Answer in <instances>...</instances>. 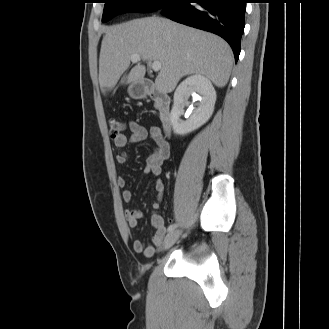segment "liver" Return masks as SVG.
Listing matches in <instances>:
<instances>
[{
	"label": "liver",
	"mask_w": 329,
	"mask_h": 329,
	"mask_svg": "<svg viewBox=\"0 0 329 329\" xmlns=\"http://www.w3.org/2000/svg\"><path fill=\"white\" fill-rule=\"evenodd\" d=\"M134 54L142 61L161 63L155 85L167 93L182 77L192 74L224 87L233 65L230 46L214 34L160 17L134 19L105 30L99 58V84L104 94L117 84ZM145 73V66L138 64L123 82L142 81Z\"/></svg>",
	"instance_id": "liver-1"
}]
</instances>
